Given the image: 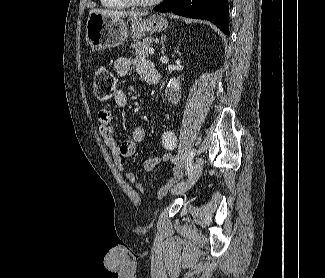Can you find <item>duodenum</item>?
<instances>
[{
  "mask_svg": "<svg viewBox=\"0 0 325 278\" xmlns=\"http://www.w3.org/2000/svg\"><path fill=\"white\" fill-rule=\"evenodd\" d=\"M144 79L149 83L156 85L160 81V73L150 64L145 69Z\"/></svg>",
  "mask_w": 325,
  "mask_h": 278,
  "instance_id": "1",
  "label": "duodenum"
}]
</instances>
